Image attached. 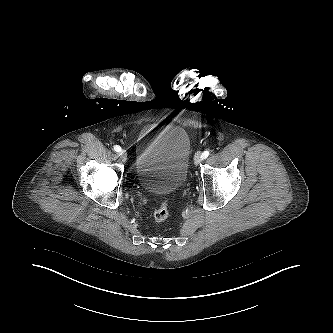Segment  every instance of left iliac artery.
I'll return each instance as SVG.
<instances>
[{"mask_svg": "<svg viewBox=\"0 0 333 333\" xmlns=\"http://www.w3.org/2000/svg\"><path fill=\"white\" fill-rule=\"evenodd\" d=\"M209 151L208 150H205L203 153H202V155H201V159L203 160V159H206L208 156H209Z\"/></svg>", "mask_w": 333, "mask_h": 333, "instance_id": "obj_1", "label": "left iliac artery"}]
</instances>
